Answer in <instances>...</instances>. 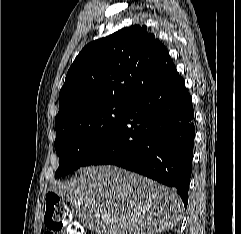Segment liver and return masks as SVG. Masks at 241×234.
<instances>
[{"instance_id":"liver-1","label":"liver","mask_w":241,"mask_h":234,"mask_svg":"<svg viewBox=\"0 0 241 234\" xmlns=\"http://www.w3.org/2000/svg\"><path fill=\"white\" fill-rule=\"evenodd\" d=\"M78 174L52 191L90 216L96 234H155L181 219L179 195L151 179L112 165L83 167Z\"/></svg>"}]
</instances>
